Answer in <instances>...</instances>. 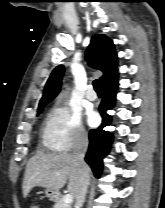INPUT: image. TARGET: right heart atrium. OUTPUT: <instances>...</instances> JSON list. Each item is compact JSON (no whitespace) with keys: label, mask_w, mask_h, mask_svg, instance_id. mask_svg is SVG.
I'll use <instances>...</instances> for the list:
<instances>
[{"label":"right heart atrium","mask_w":165,"mask_h":208,"mask_svg":"<svg viewBox=\"0 0 165 208\" xmlns=\"http://www.w3.org/2000/svg\"><path fill=\"white\" fill-rule=\"evenodd\" d=\"M43 138L49 149L59 152L85 144L88 135L80 112L66 104L54 106L48 113Z\"/></svg>","instance_id":"obj_1"}]
</instances>
